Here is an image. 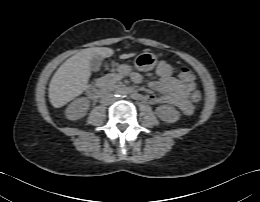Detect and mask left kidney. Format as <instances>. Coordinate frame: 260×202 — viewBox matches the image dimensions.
Here are the masks:
<instances>
[{
	"mask_svg": "<svg viewBox=\"0 0 260 202\" xmlns=\"http://www.w3.org/2000/svg\"><path fill=\"white\" fill-rule=\"evenodd\" d=\"M156 114L162 121L167 123H174L180 118V112L170 105L157 107Z\"/></svg>",
	"mask_w": 260,
	"mask_h": 202,
	"instance_id": "1",
	"label": "left kidney"
}]
</instances>
